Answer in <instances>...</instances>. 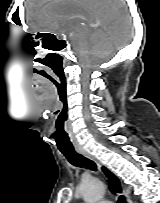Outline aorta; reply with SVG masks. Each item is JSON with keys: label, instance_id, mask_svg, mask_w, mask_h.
Here are the masks:
<instances>
[{"label": "aorta", "instance_id": "1", "mask_svg": "<svg viewBox=\"0 0 160 203\" xmlns=\"http://www.w3.org/2000/svg\"><path fill=\"white\" fill-rule=\"evenodd\" d=\"M80 191L86 203H99L104 195L105 186L99 180L89 179L82 183Z\"/></svg>", "mask_w": 160, "mask_h": 203}]
</instances>
